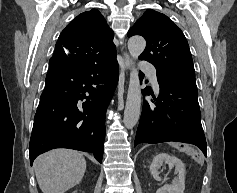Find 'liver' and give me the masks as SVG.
<instances>
[{
    "label": "liver",
    "mask_w": 237,
    "mask_h": 193,
    "mask_svg": "<svg viewBox=\"0 0 237 193\" xmlns=\"http://www.w3.org/2000/svg\"><path fill=\"white\" fill-rule=\"evenodd\" d=\"M34 170L43 193H65L82 180L86 161L80 152L55 149L38 156Z\"/></svg>",
    "instance_id": "1"
}]
</instances>
